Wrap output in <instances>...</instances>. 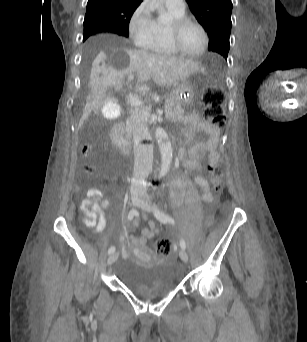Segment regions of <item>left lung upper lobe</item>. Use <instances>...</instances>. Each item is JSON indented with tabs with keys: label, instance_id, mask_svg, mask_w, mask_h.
Returning a JSON list of instances; mask_svg holds the SVG:
<instances>
[{
	"label": "left lung upper lobe",
	"instance_id": "left-lung-upper-lobe-1",
	"mask_svg": "<svg viewBox=\"0 0 307 342\" xmlns=\"http://www.w3.org/2000/svg\"><path fill=\"white\" fill-rule=\"evenodd\" d=\"M192 13L209 35V50L227 59L232 27L231 0H186Z\"/></svg>",
	"mask_w": 307,
	"mask_h": 342
}]
</instances>
